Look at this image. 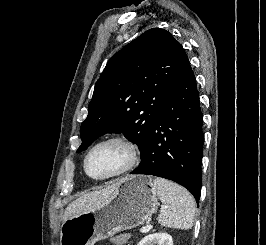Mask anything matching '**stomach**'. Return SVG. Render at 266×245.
I'll return each instance as SVG.
<instances>
[{"mask_svg": "<svg viewBox=\"0 0 266 245\" xmlns=\"http://www.w3.org/2000/svg\"><path fill=\"white\" fill-rule=\"evenodd\" d=\"M118 183L109 203L64 221L60 245H94L119 231L135 229L152 217L159 203L151 177L126 175Z\"/></svg>", "mask_w": 266, "mask_h": 245, "instance_id": "obj_1", "label": "stomach"}]
</instances>
